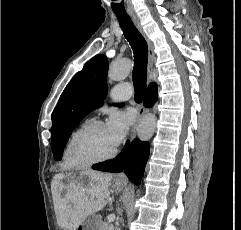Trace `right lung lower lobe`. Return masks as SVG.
Listing matches in <instances>:
<instances>
[{
	"instance_id": "obj_1",
	"label": "right lung lower lobe",
	"mask_w": 241,
	"mask_h": 230,
	"mask_svg": "<svg viewBox=\"0 0 241 230\" xmlns=\"http://www.w3.org/2000/svg\"><path fill=\"white\" fill-rule=\"evenodd\" d=\"M157 101V85L155 83L149 84L145 98H144V106L152 107L154 103Z\"/></svg>"
}]
</instances>
